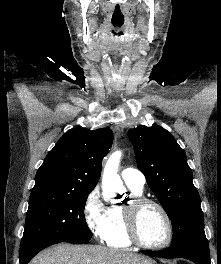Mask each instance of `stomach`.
Listing matches in <instances>:
<instances>
[{
    "instance_id": "stomach-1",
    "label": "stomach",
    "mask_w": 221,
    "mask_h": 264,
    "mask_svg": "<svg viewBox=\"0 0 221 264\" xmlns=\"http://www.w3.org/2000/svg\"><path fill=\"white\" fill-rule=\"evenodd\" d=\"M150 264H155L154 262H151Z\"/></svg>"
}]
</instances>
